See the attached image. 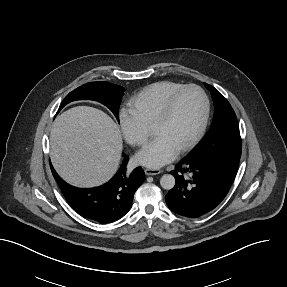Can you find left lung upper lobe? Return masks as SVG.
<instances>
[{
	"label": "left lung upper lobe",
	"instance_id": "1",
	"mask_svg": "<svg viewBox=\"0 0 287 287\" xmlns=\"http://www.w3.org/2000/svg\"><path fill=\"white\" fill-rule=\"evenodd\" d=\"M204 84L214 102L213 124L203 141L185 158H240L241 137L235 112L213 86Z\"/></svg>",
	"mask_w": 287,
	"mask_h": 287
}]
</instances>
